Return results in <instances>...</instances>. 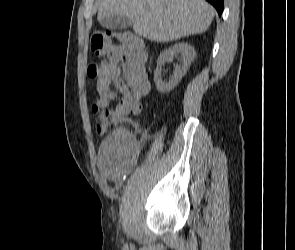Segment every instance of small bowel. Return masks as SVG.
Here are the masks:
<instances>
[{"label":"small bowel","mask_w":295,"mask_h":250,"mask_svg":"<svg viewBox=\"0 0 295 250\" xmlns=\"http://www.w3.org/2000/svg\"><path fill=\"white\" fill-rule=\"evenodd\" d=\"M113 87L118 90L119 97ZM96 88L95 105L99 109L118 100L117 108L134 107L140 111L150 90L146 52L133 54L125 45L114 46L106 70L97 78ZM131 150L132 141L125 130H118L103 141L99 163L103 174L112 182L119 183L128 173Z\"/></svg>","instance_id":"obj_1"}]
</instances>
